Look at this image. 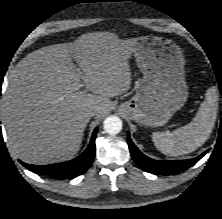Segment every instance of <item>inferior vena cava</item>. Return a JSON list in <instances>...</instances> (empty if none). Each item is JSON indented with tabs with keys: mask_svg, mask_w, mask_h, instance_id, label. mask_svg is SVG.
<instances>
[{
	"mask_svg": "<svg viewBox=\"0 0 222 219\" xmlns=\"http://www.w3.org/2000/svg\"><path fill=\"white\" fill-rule=\"evenodd\" d=\"M98 111V108H92L87 112V115L94 116Z\"/></svg>",
	"mask_w": 222,
	"mask_h": 219,
	"instance_id": "inferior-vena-cava-1",
	"label": "inferior vena cava"
}]
</instances>
